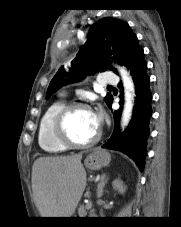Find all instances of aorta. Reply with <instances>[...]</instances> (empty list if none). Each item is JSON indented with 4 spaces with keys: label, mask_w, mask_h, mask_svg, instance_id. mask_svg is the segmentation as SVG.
Listing matches in <instances>:
<instances>
[{
    "label": "aorta",
    "mask_w": 181,
    "mask_h": 227,
    "mask_svg": "<svg viewBox=\"0 0 181 227\" xmlns=\"http://www.w3.org/2000/svg\"><path fill=\"white\" fill-rule=\"evenodd\" d=\"M117 68L122 77L125 92V102L121 117V126L124 128L128 125L132 116V110L134 106V84L131 77L129 76V73L124 67L117 66Z\"/></svg>",
    "instance_id": "762f6f07"
}]
</instances>
